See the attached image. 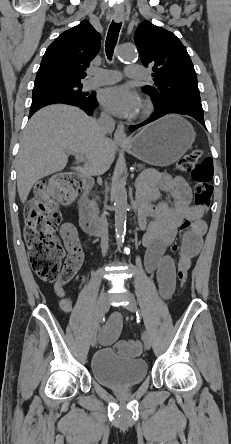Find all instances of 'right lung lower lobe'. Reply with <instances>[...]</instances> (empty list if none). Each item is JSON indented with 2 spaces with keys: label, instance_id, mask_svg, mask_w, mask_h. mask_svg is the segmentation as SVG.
<instances>
[{
  "label": "right lung lower lobe",
  "instance_id": "obj_1",
  "mask_svg": "<svg viewBox=\"0 0 231 444\" xmlns=\"http://www.w3.org/2000/svg\"><path fill=\"white\" fill-rule=\"evenodd\" d=\"M55 103H64V104L78 106L89 115H91L92 111L97 107L96 97L88 101H76L72 99L58 98V97H46L32 101L29 116H32L40 108Z\"/></svg>",
  "mask_w": 231,
  "mask_h": 444
}]
</instances>
